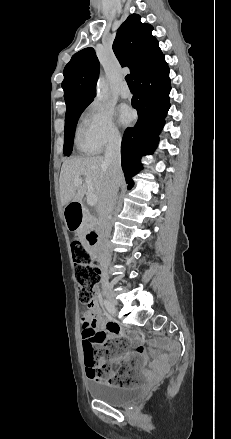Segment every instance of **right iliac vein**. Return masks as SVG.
Returning <instances> with one entry per match:
<instances>
[{"label": "right iliac vein", "mask_w": 231, "mask_h": 439, "mask_svg": "<svg viewBox=\"0 0 231 439\" xmlns=\"http://www.w3.org/2000/svg\"><path fill=\"white\" fill-rule=\"evenodd\" d=\"M107 298H108V300L113 308V311H114L112 314H116V307L115 306L117 305V300H116L115 294L112 290L107 292Z\"/></svg>", "instance_id": "right-iliac-vein-1"}]
</instances>
